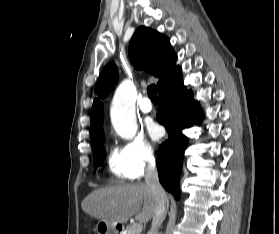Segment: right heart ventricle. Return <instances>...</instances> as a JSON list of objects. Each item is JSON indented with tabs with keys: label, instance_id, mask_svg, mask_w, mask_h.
Segmentation results:
<instances>
[{
	"label": "right heart ventricle",
	"instance_id": "right-heart-ventricle-1",
	"mask_svg": "<svg viewBox=\"0 0 279 234\" xmlns=\"http://www.w3.org/2000/svg\"><path fill=\"white\" fill-rule=\"evenodd\" d=\"M108 166L111 173L119 180L132 179L123 150L112 148L108 155Z\"/></svg>",
	"mask_w": 279,
	"mask_h": 234
}]
</instances>
